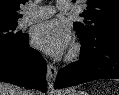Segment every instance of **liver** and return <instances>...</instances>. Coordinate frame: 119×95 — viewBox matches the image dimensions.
I'll use <instances>...</instances> for the list:
<instances>
[{
  "label": "liver",
  "mask_w": 119,
  "mask_h": 95,
  "mask_svg": "<svg viewBox=\"0 0 119 95\" xmlns=\"http://www.w3.org/2000/svg\"><path fill=\"white\" fill-rule=\"evenodd\" d=\"M22 88L0 82V95H23ZM27 95H40L39 92L27 91Z\"/></svg>",
  "instance_id": "6515ba94"
}]
</instances>
